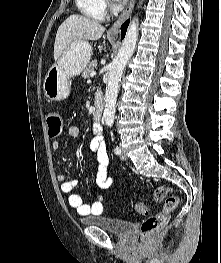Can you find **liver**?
<instances>
[{
    "label": "liver",
    "instance_id": "1",
    "mask_svg": "<svg viewBox=\"0 0 221 263\" xmlns=\"http://www.w3.org/2000/svg\"><path fill=\"white\" fill-rule=\"evenodd\" d=\"M105 28L95 20L73 14L58 28L54 43V58L58 61L64 51L75 41H96Z\"/></svg>",
    "mask_w": 221,
    "mask_h": 263
}]
</instances>
